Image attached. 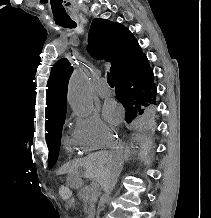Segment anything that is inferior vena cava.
Returning <instances> with one entry per match:
<instances>
[{"label": "inferior vena cava", "instance_id": "602c4592", "mask_svg": "<svg viewBox=\"0 0 211 218\" xmlns=\"http://www.w3.org/2000/svg\"><path fill=\"white\" fill-rule=\"evenodd\" d=\"M121 170V162H114V168L106 182H102L100 184L103 192H105L103 198H109L113 188L116 186V182L118 180V176Z\"/></svg>", "mask_w": 211, "mask_h": 218}]
</instances>
